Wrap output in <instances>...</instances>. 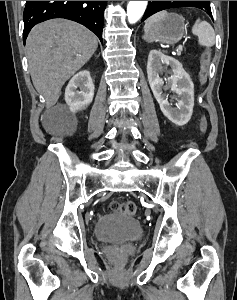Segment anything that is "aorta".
Instances as JSON below:
<instances>
[{
	"label": "aorta",
	"instance_id": "1",
	"mask_svg": "<svg viewBox=\"0 0 237 300\" xmlns=\"http://www.w3.org/2000/svg\"><path fill=\"white\" fill-rule=\"evenodd\" d=\"M148 1H130L127 7V17L129 23H137L145 13Z\"/></svg>",
	"mask_w": 237,
	"mask_h": 300
}]
</instances>
